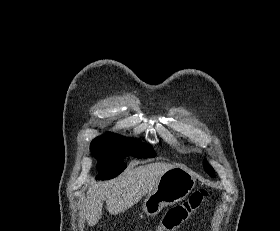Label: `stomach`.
<instances>
[{"label": "stomach", "instance_id": "1", "mask_svg": "<svg viewBox=\"0 0 280 231\" xmlns=\"http://www.w3.org/2000/svg\"><path fill=\"white\" fill-rule=\"evenodd\" d=\"M195 187V179L188 169L173 165L161 175L155 189L148 193L142 209L146 215H156L164 205H172L184 199Z\"/></svg>", "mask_w": 280, "mask_h": 231}]
</instances>
